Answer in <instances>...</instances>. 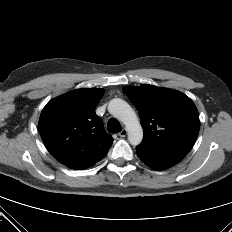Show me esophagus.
<instances>
[{
	"mask_svg": "<svg viewBox=\"0 0 232 232\" xmlns=\"http://www.w3.org/2000/svg\"><path fill=\"white\" fill-rule=\"evenodd\" d=\"M120 137H125L127 135V130L124 128L121 132L118 133Z\"/></svg>",
	"mask_w": 232,
	"mask_h": 232,
	"instance_id": "34e87169",
	"label": "esophagus"
}]
</instances>
